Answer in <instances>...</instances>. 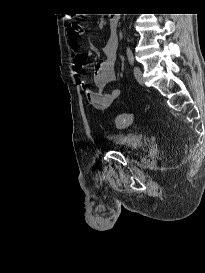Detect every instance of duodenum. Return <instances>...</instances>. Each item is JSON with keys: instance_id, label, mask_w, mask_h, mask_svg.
Here are the masks:
<instances>
[{"instance_id": "obj_1", "label": "duodenum", "mask_w": 205, "mask_h": 273, "mask_svg": "<svg viewBox=\"0 0 205 273\" xmlns=\"http://www.w3.org/2000/svg\"><path fill=\"white\" fill-rule=\"evenodd\" d=\"M118 19H119V16L114 13L112 15L109 16V25L115 29L117 27V24H118ZM114 38V41L116 40V37H113Z\"/></svg>"}]
</instances>
